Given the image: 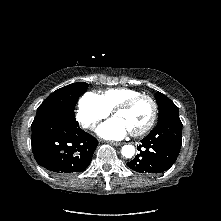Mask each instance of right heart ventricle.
I'll list each match as a JSON object with an SVG mask.
<instances>
[{
  "instance_id": "obj_1",
  "label": "right heart ventricle",
  "mask_w": 221,
  "mask_h": 221,
  "mask_svg": "<svg viewBox=\"0 0 221 221\" xmlns=\"http://www.w3.org/2000/svg\"><path fill=\"white\" fill-rule=\"evenodd\" d=\"M139 94H141V92L137 90L121 87V88L108 89L104 91L100 96L106 107L110 111H112L120 103Z\"/></svg>"
}]
</instances>
